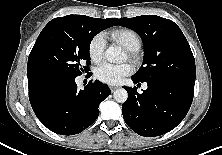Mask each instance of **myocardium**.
Returning <instances> with one entry per match:
<instances>
[{"label":"myocardium","mask_w":222,"mask_h":155,"mask_svg":"<svg viewBox=\"0 0 222 155\" xmlns=\"http://www.w3.org/2000/svg\"><path fill=\"white\" fill-rule=\"evenodd\" d=\"M130 56H131L132 58H135V57H136L135 54H134V52H131V51H130Z\"/></svg>","instance_id":"myocardium-1"}]
</instances>
